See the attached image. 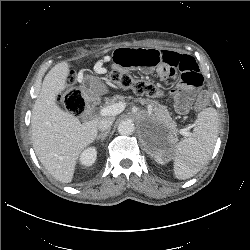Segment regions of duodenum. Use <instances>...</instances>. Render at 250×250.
Segmentation results:
<instances>
[{"instance_id": "obj_1", "label": "duodenum", "mask_w": 250, "mask_h": 250, "mask_svg": "<svg viewBox=\"0 0 250 250\" xmlns=\"http://www.w3.org/2000/svg\"><path fill=\"white\" fill-rule=\"evenodd\" d=\"M97 101L94 98H88L85 102V111L91 112L92 109L96 106Z\"/></svg>"}]
</instances>
